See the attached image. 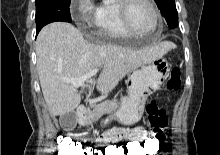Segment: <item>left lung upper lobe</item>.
Masks as SVG:
<instances>
[{
  "mask_svg": "<svg viewBox=\"0 0 220 155\" xmlns=\"http://www.w3.org/2000/svg\"><path fill=\"white\" fill-rule=\"evenodd\" d=\"M155 2L168 26L175 28L178 25V13L174 0H155Z\"/></svg>",
  "mask_w": 220,
  "mask_h": 155,
  "instance_id": "1",
  "label": "left lung upper lobe"
}]
</instances>
